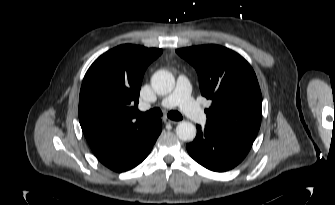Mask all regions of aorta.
<instances>
[{
	"label": "aorta",
	"mask_w": 335,
	"mask_h": 205,
	"mask_svg": "<svg viewBox=\"0 0 335 205\" xmlns=\"http://www.w3.org/2000/svg\"><path fill=\"white\" fill-rule=\"evenodd\" d=\"M151 85L156 93L165 95L173 90L175 79L169 71L158 70L151 78ZM176 134L182 141H192L196 136V127L190 122L182 121L176 127Z\"/></svg>",
	"instance_id": "obj_1"
}]
</instances>
